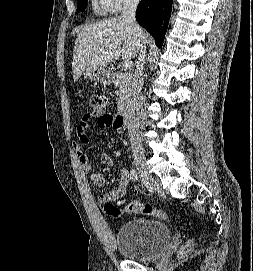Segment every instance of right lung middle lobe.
Returning a JSON list of instances; mask_svg holds the SVG:
<instances>
[{
	"mask_svg": "<svg viewBox=\"0 0 253 271\" xmlns=\"http://www.w3.org/2000/svg\"><path fill=\"white\" fill-rule=\"evenodd\" d=\"M78 1V5H77V9L78 10H83L86 7V0H77Z\"/></svg>",
	"mask_w": 253,
	"mask_h": 271,
	"instance_id": "right-lung-middle-lobe-1",
	"label": "right lung middle lobe"
}]
</instances>
